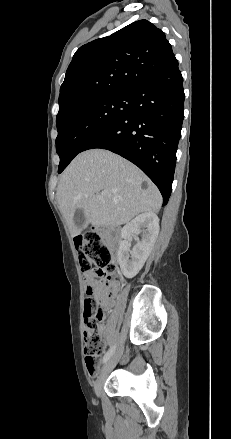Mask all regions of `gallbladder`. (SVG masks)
<instances>
[{
	"label": "gallbladder",
	"mask_w": 231,
	"mask_h": 439,
	"mask_svg": "<svg viewBox=\"0 0 231 439\" xmlns=\"http://www.w3.org/2000/svg\"><path fill=\"white\" fill-rule=\"evenodd\" d=\"M74 222L77 227H82L85 223V216L82 209H77L74 214Z\"/></svg>",
	"instance_id": "1"
}]
</instances>
